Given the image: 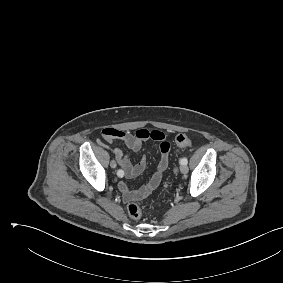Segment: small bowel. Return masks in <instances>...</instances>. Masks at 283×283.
<instances>
[{
	"mask_svg": "<svg viewBox=\"0 0 283 283\" xmlns=\"http://www.w3.org/2000/svg\"><path fill=\"white\" fill-rule=\"evenodd\" d=\"M101 136L106 141L121 140L131 151H139L144 141L153 139L160 143V161L157 170L149 180V182L136 190H131L125 182L119 183V189L122 192L125 201L139 200L148 196L155 190L161 182L162 176L166 171L169 163L170 144L166 140L165 134L158 130L139 129L134 134L115 129L105 128L101 131ZM116 161L123 169L124 175L128 179H132L140 175L146 168V159L142 158L138 163L132 164L129 155L125 154L121 149L113 150ZM121 169V170H122Z\"/></svg>",
	"mask_w": 283,
	"mask_h": 283,
	"instance_id": "c3829d8e",
	"label": "small bowel"
}]
</instances>
